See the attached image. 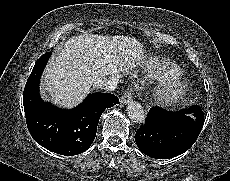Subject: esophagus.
<instances>
[{"label":"esophagus","mask_w":230,"mask_h":181,"mask_svg":"<svg viewBox=\"0 0 230 181\" xmlns=\"http://www.w3.org/2000/svg\"><path fill=\"white\" fill-rule=\"evenodd\" d=\"M132 100H133V97H132L131 91H126L120 99L121 103L124 105L129 104Z\"/></svg>","instance_id":"1"}]
</instances>
